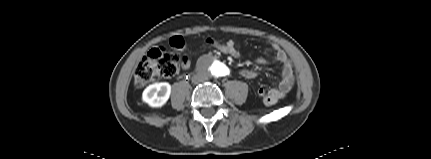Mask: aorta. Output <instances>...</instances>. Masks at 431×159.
<instances>
[{
  "label": "aorta",
  "instance_id": "aorta-1",
  "mask_svg": "<svg viewBox=\"0 0 431 159\" xmlns=\"http://www.w3.org/2000/svg\"><path fill=\"white\" fill-rule=\"evenodd\" d=\"M206 71L212 76L221 77L227 73V67L219 61H212L207 64Z\"/></svg>",
  "mask_w": 431,
  "mask_h": 159
}]
</instances>
